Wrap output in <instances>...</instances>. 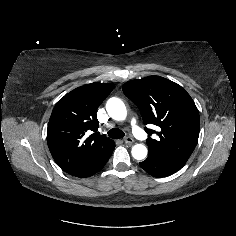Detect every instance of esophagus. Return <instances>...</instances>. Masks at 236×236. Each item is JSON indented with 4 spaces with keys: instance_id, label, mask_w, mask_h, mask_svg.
I'll use <instances>...</instances> for the list:
<instances>
[{
    "instance_id": "obj_1",
    "label": "esophagus",
    "mask_w": 236,
    "mask_h": 236,
    "mask_svg": "<svg viewBox=\"0 0 236 236\" xmlns=\"http://www.w3.org/2000/svg\"><path fill=\"white\" fill-rule=\"evenodd\" d=\"M124 141H125V143H127L129 145H131L134 142L133 138L130 136L125 137Z\"/></svg>"
}]
</instances>
